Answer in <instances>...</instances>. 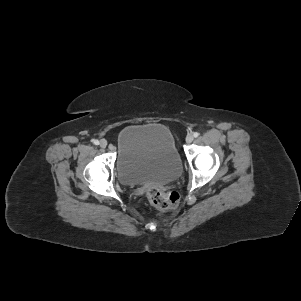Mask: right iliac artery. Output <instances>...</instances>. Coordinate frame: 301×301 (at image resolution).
Masks as SVG:
<instances>
[{
	"instance_id": "1",
	"label": "right iliac artery",
	"mask_w": 301,
	"mask_h": 301,
	"mask_svg": "<svg viewBox=\"0 0 301 301\" xmlns=\"http://www.w3.org/2000/svg\"><path fill=\"white\" fill-rule=\"evenodd\" d=\"M93 143H94L95 145H99V141H98V140H93Z\"/></svg>"
}]
</instances>
